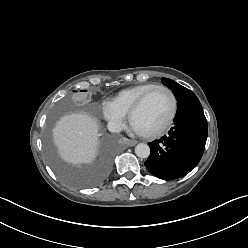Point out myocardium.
Instances as JSON below:
<instances>
[{
	"label": "myocardium",
	"mask_w": 248,
	"mask_h": 248,
	"mask_svg": "<svg viewBox=\"0 0 248 248\" xmlns=\"http://www.w3.org/2000/svg\"><path fill=\"white\" fill-rule=\"evenodd\" d=\"M158 90H162L165 91L171 98V102H172V110H171V114L168 118V120L166 121V123L161 126L158 130L151 132V133H139L141 136L147 138V139H156L159 138L161 136H163L173 125L175 118L177 116V112H178V102H177V98L175 96V94L172 92L171 89H169L166 86H162V85H157L154 88L146 91L137 101L136 103L132 106V108L130 109L129 113H128V120L130 125L132 126V119L134 117V115L143 107V105L145 104V102L147 101V99L156 91Z\"/></svg>",
	"instance_id": "obj_1"
}]
</instances>
